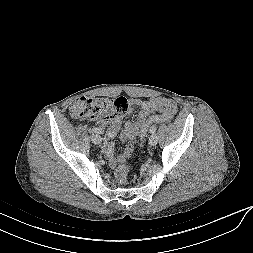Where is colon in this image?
<instances>
[{
    "label": "colon",
    "mask_w": 253,
    "mask_h": 253,
    "mask_svg": "<svg viewBox=\"0 0 253 253\" xmlns=\"http://www.w3.org/2000/svg\"><path fill=\"white\" fill-rule=\"evenodd\" d=\"M70 113L76 118L98 119L102 127L109 129L112 124L128 111V102L124 97L116 99L103 97H80L70 105ZM171 118H153L141 130L140 147H144L148 129L151 125L161 121H170ZM129 167L120 165L115 170V178L118 183L127 181Z\"/></svg>",
    "instance_id": "obj_1"
}]
</instances>
